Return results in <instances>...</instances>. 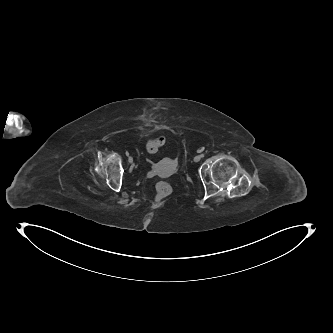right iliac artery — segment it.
I'll use <instances>...</instances> for the list:
<instances>
[{"mask_svg": "<svg viewBox=\"0 0 333 333\" xmlns=\"http://www.w3.org/2000/svg\"><path fill=\"white\" fill-rule=\"evenodd\" d=\"M126 155H127V156L129 155L128 151H126Z\"/></svg>", "mask_w": 333, "mask_h": 333, "instance_id": "82829eb1", "label": "right iliac artery"}]
</instances>
